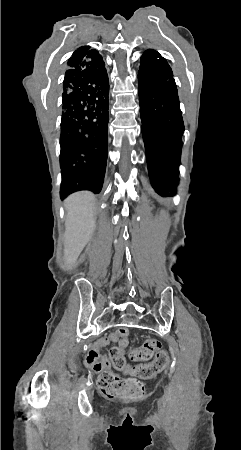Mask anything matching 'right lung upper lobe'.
I'll return each instance as SVG.
<instances>
[{
	"label": "right lung upper lobe",
	"instance_id": "cb5924a9",
	"mask_svg": "<svg viewBox=\"0 0 241 450\" xmlns=\"http://www.w3.org/2000/svg\"><path fill=\"white\" fill-rule=\"evenodd\" d=\"M102 61V56L90 46H81L74 51L68 60V69H76L78 67H86L96 65Z\"/></svg>",
	"mask_w": 241,
	"mask_h": 450
}]
</instances>
